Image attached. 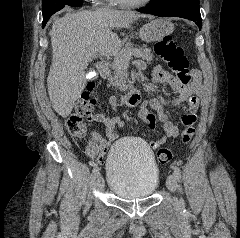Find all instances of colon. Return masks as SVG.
<instances>
[{
	"label": "colon",
	"mask_w": 240,
	"mask_h": 238,
	"mask_svg": "<svg viewBox=\"0 0 240 238\" xmlns=\"http://www.w3.org/2000/svg\"><path fill=\"white\" fill-rule=\"evenodd\" d=\"M155 52L168 64L180 82L186 84L192 81L194 74L193 70H189L188 68V59L183 49L179 47L171 37H165L158 41L155 45ZM93 87V84L87 85V90L77 102L75 111L66 120L67 130L74 138H83L87 133L85 117L90 114L94 105V99L91 97ZM194 132L195 129L193 125L185 126L181 133L182 142L184 144L189 143ZM101 147L102 144L93 138L87 147L88 155L97 159L98 154L101 153ZM172 157L173 153L168 148H160L157 151V158L161 164L170 162Z\"/></svg>",
	"instance_id": "obj_1"
}]
</instances>
